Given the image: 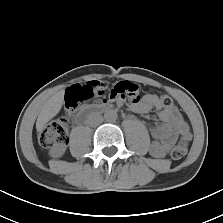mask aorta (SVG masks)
<instances>
[{"mask_svg":"<svg viewBox=\"0 0 223 223\" xmlns=\"http://www.w3.org/2000/svg\"><path fill=\"white\" fill-rule=\"evenodd\" d=\"M104 118L107 122H115L117 119V112L113 109L107 110L104 113Z\"/></svg>","mask_w":223,"mask_h":223,"instance_id":"762f6f07","label":"aorta"}]
</instances>
